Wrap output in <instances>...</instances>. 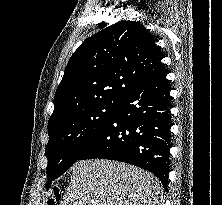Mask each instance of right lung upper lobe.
I'll return each instance as SVG.
<instances>
[{
	"label": "right lung upper lobe",
	"instance_id": "obj_1",
	"mask_svg": "<svg viewBox=\"0 0 222 205\" xmlns=\"http://www.w3.org/2000/svg\"><path fill=\"white\" fill-rule=\"evenodd\" d=\"M161 59L154 38L139 22L122 20L87 38L64 70L48 125L91 105L121 102L165 70Z\"/></svg>",
	"mask_w": 222,
	"mask_h": 205
}]
</instances>
